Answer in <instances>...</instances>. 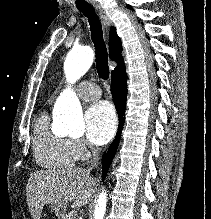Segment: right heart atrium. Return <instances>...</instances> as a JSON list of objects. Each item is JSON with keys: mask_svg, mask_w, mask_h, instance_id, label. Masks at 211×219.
<instances>
[{"mask_svg": "<svg viewBox=\"0 0 211 219\" xmlns=\"http://www.w3.org/2000/svg\"><path fill=\"white\" fill-rule=\"evenodd\" d=\"M70 148L77 160H86L91 154V148L83 139H69Z\"/></svg>", "mask_w": 211, "mask_h": 219, "instance_id": "obj_1", "label": "right heart atrium"}]
</instances>
